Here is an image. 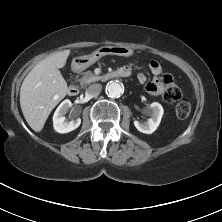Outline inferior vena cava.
<instances>
[{"label": "inferior vena cava", "instance_id": "obj_1", "mask_svg": "<svg viewBox=\"0 0 222 222\" xmlns=\"http://www.w3.org/2000/svg\"><path fill=\"white\" fill-rule=\"evenodd\" d=\"M102 90V85L99 83L92 84L86 89V95L90 97H97Z\"/></svg>", "mask_w": 222, "mask_h": 222}]
</instances>
